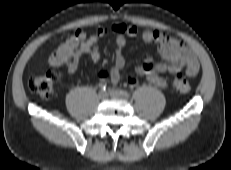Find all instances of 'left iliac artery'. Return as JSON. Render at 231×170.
Masks as SVG:
<instances>
[{
	"instance_id": "obj_1",
	"label": "left iliac artery",
	"mask_w": 231,
	"mask_h": 170,
	"mask_svg": "<svg viewBox=\"0 0 231 170\" xmlns=\"http://www.w3.org/2000/svg\"><path fill=\"white\" fill-rule=\"evenodd\" d=\"M120 93L123 97H128L129 93L126 90L120 89Z\"/></svg>"
}]
</instances>
